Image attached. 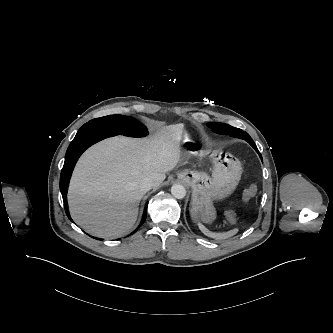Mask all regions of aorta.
Wrapping results in <instances>:
<instances>
[{"instance_id": "obj_1", "label": "aorta", "mask_w": 333, "mask_h": 333, "mask_svg": "<svg viewBox=\"0 0 333 333\" xmlns=\"http://www.w3.org/2000/svg\"><path fill=\"white\" fill-rule=\"evenodd\" d=\"M171 194L177 199H182L186 196V189L181 184H174L171 187Z\"/></svg>"}]
</instances>
